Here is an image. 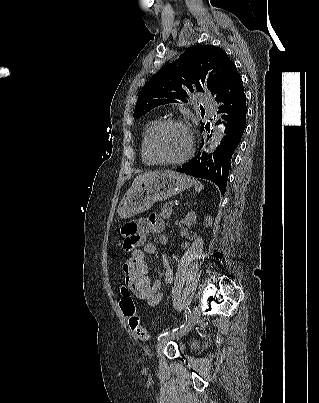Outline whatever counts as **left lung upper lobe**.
<instances>
[{"mask_svg":"<svg viewBox=\"0 0 319 403\" xmlns=\"http://www.w3.org/2000/svg\"><path fill=\"white\" fill-rule=\"evenodd\" d=\"M232 64L226 52L215 46L200 45L187 49L146 83L133 117H141L159 105L177 102L175 98L187 102L185 96L188 92L209 90L214 96Z\"/></svg>","mask_w":319,"mask_h":403,"instance_id":"obj_1","label":"left lung upper lobe"}]
</instances>
